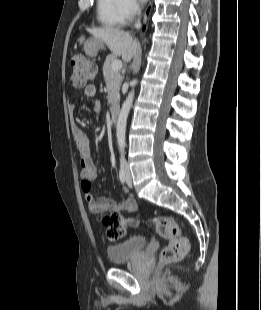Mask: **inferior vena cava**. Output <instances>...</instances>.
I'll return each mask as SVG.
<instances>
[{
    "instance_id": "602c4592",
    "label": "inferior vena cava",
    "mask_w": 261,
    "mask_h": 310,
    "mask_svg": "<svg viewBox=\"0 0 261 310\" xmlns=\"http://www.w3.org/2000/svg\"><path fill=\"white\" fill-rule=\"evenodd\" d=\"M136 8H137L138 15H140L141 12H140L139 5H137ZM135 27H136L137 29H139V28L141 27L140 20H138V21L135 23Z\"/></svg>"
}]
</instances>
